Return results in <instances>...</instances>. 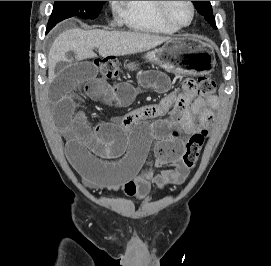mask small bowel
<instances>
[{
    "label": "small bowel",
    "mask_w": 271,
    "mask_h": 266,
    "mask_svg": "<svg viewBox=\"0 0 271 266\" xmlns=\"http://www.w3.org/2000/svg\"><path fill=\"white\" fill-rule=\"evenodd\" d=\"M140 82L156 92H168V76L153 67L143 68ZM52 79L50 98L54 117L67 139V158L90 188L122 190L127 196L145 198L152 186L165 188L182 184L187 173L181 168L185 151L180 134L209 127L218 98L181 96L168 92L159 103L140 107L123 116L91 125L77 108L75 93L82 87L95 101L127 106L135 96L128 82L109 84L98 77L89 61L58 63L49 72ZM169 113V119L160 117ZM159 118L148 122L150 119ZM152 141H155V172L142 170Z\"/></svg>",
    "instance_id": "obj_1"
}]
</instances>
